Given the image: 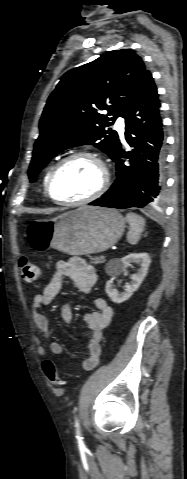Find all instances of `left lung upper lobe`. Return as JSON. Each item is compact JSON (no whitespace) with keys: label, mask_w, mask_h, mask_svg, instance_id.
Returning a JSON list of instances; mask_svg holds the SVG:
<instances>
[{"label":"left lung upper lobe","mask_w":187,"mask_h":479,"mask_svg":"<svg viewBox=\"0 0 187 479\" xmlns=\"http://www.w3.org/2000/svg\"><path fill=\"white\" fill-rule=\"evenodd\" d=\"M151 75L131 49L106 52L96 60L66 72L47 100L28 171L33 181L52 157L84 144L94 145L113 160L121 144L106 130L126 117L145 78ZM108 111L107 115L102 111Z\"/></svg>","instance_id":"5c2ea615"}]
</instances>
